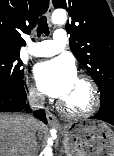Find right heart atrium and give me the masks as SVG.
<instances>
[{"label":"right heart atrium","mask_w":114,"mask_h":156,"mask_svg":"<svg viewBox=\"0 0 114 156\" xmlns=\"http://www.w3.org/2000/svg\"><path fill=\"white\" fill-rule=\"evenodd\" d=\"M27 93L30 101L34 104H41L43 102L42 93L31 83H27Z\"/></svg>","instance_id":"obj_1"}]
</instances>
